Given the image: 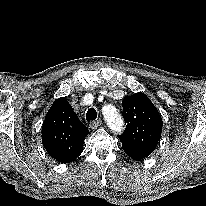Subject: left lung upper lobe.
Instances as JSON below:
<instances>
[{"label":"left lung upper lobe","instance_id":"left-lung-upper-lobe-1","mask_svg":"<svg viewBox=\"0 0 206 206\" xmlns=\"http://www.w3.org/2000/svg\"><path fill=\"white\" fill-rule=\"evenodd\" d=\"M126 129L119 136L123 150L144 152L150 155L161 138L162 118L151 102L141 92L127 96L122 101Z\"/></svg>","mask_w":206,"mask_h":206}]
</instances>
